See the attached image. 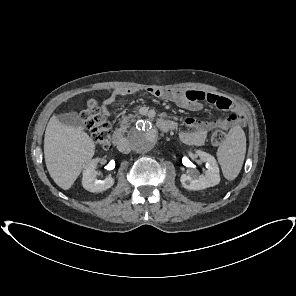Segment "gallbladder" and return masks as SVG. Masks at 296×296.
Masks as SVG:
<instances>
[{"label": "gallbladder", "mask_w": 296, "mask_h": 296, "mask_svg": "<svg viewBox=\"0 0 296 296\" xmlns=\"http://www.w3.org/2000/svg\"><path fill=\"white\" fill-rule=\"evenodd\" d=\"M57 119L59 120L60 123L66 126H71L76 128L83 126V122L76 112L60 113L57 116Z\"/></svg>", "instance_id": "gallbladder-1"}]
</instances>
